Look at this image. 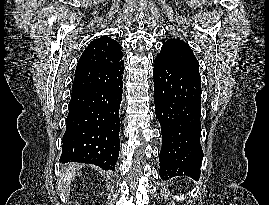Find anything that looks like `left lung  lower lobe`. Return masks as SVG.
<instances>
[{"mask_svg":"<svg viewBox=\"0 0 269 205\" xmlns=\"http://www.w3.org/2000/svg\"><path fill=\"white\" fill-rule=\"evenodd\" d=\"M153 77L155 113L162 131L160 176L186 175L197 181L203 159L199 70L157 56Z\"/></svg>","mask_w":269,"mask_h":205,"instance_id":"0a47b994","label":"left lung lower lobe"}]
</instances>
